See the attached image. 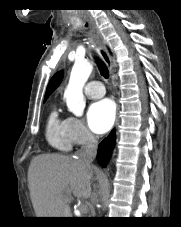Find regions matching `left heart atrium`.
Returning <instances> with one entry per match:
<instances>
[{"label": "left heart atrium", "instance_id": "left-heart-atrium-1", "mask_svg": "<svg viewBox=\"0 0 181 227\" xmlns=\"http://www.w3.org/2000/svg\"><path fill=\"white\" fill-rule=\"evenodd\" d=\"M115 120V107L109 99H103L90 105L87 121L91 130L98 134L107 132Z\"/></svg>", "mask_w": 181, "mask_h": 227}]
</instances>
